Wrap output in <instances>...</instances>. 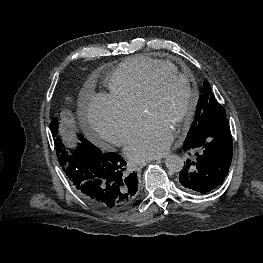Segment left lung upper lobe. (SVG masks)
<instances>
[{
	"label": "left lung upper lobe",
	"mask_w": 263,
	"mask_h": 263,
	"mask_svg": "<svg viewBox=\"0 0 263 263\" xmlns=\"http://www.w3.org/2000/svg\"><path fill=\"white\" fill-rule=\"evenodd\" d=\"M203 87L204 93L198 100L196 116L188 131L187 138L200 135L214 121L226 118L225 109L215 99L209 83L204 82Z\"/></svg>",
	"instance_id": "5c2ea615"
}]
</instances>
